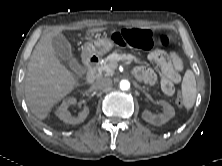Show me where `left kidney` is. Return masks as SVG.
I'll list each match as a JSON object with an SVG mask.
<instances>
[{
  "label": "left kidney",
  "mask_w": 222,
  "mask_h": 166,
  "mask_svg": "<svg viewBox=\"0 0 222 166\" xmlns=\"http://www.w3.org/2000/svg\"><path fill=\"white\" fill-rule=\"evenodd\" d=\"M160 105L163 106L165 112L159 115H152L148 110H144L142 117L143 119L153 125L161 126L168 122L171 118L175 116L174 108L166 101H159Z\"/></svg>",
  "instance_id": "5707ae66"
}]
</instances>
